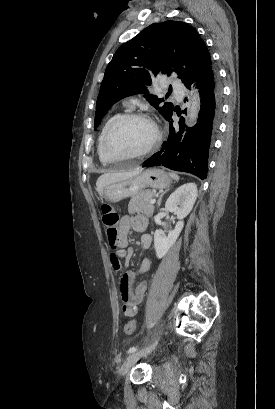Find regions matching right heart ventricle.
I'll use <instances>...</instances> for the list:
<instances>
[{
  "mask_svg": "<svg viewBox=\"0 0 275 409\" xmlns=\"http://www.w3.org/2000/svg\"><path fill=\"white\" fill-rule=\"evenodd\" d=\"M116 117H117V115L112 116L111 118H109V119L105 122V124L103 125V127H102V129H101V131H100V133H99L98 142H97V152H98L99 157H103L101 149H102V142H103L105 133H106L107 129L109 128L110 124L112 123V121H113Z\"/></svg>",
  "mask_w": 275,
  "mask_h": 409,
  "instance_id": "obj_1",
  "label": "right heart ventricle"
}]
</instances>
